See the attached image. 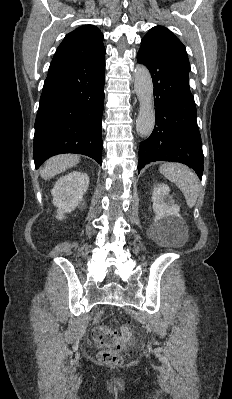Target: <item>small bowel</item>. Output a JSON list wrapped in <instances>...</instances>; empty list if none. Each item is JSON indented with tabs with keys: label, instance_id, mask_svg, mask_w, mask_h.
<instances>
[{
	"label": "small bowel",
	"instance_id": "obj_1",
	"mask_svg": "<svg viewBox=\"0 0 232 399\" xmlns=\"http://www.w3.org/2000/svg\"><path fill=\"white\" fill-rule=\"evenodd\" d=\"M101 317V312H98V314L96 315V319L99 320Z\"/></svg>",
	"mask_w": 232,
	"mask_h": 399
}]
</instances>
